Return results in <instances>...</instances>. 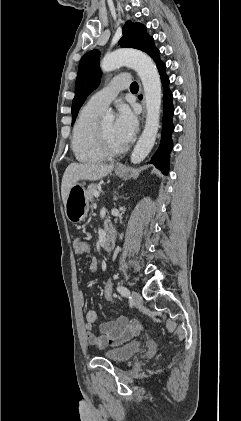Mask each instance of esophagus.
Wrapping results in <instances>:
<instances>
[{
  "label": "esophagus",
  "mask_w": 241,
  "mask_h": 421,
  "mask_svg": "<svg viewBox=\"0 0 241 421\" xmlns=\"http://www.w3.org/2000/svg\"><path fill=\"white\" fill-rule=\"evenodd\" d=\"M140 90L142 91L141 86H140ZM142 105H143V112H142V118H141V120H142V123H143L144 122V118H145V106H144V102H142ZM118 168H122V164H119L118 165Z\"/></svg>",
  "instance_id": "obj_1"
}]
</instances>
